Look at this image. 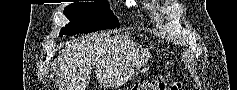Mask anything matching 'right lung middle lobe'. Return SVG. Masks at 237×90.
<instances>
[{"label":"right lung middle lobe","mask_w":237,"mask_h":90,"mask_svg":"<svg viewBox=\"0 0 237 90\" xmlns=\"http://www.w3.org/2000/svg\"><path fill=\"white\" fill-rule=\"evenodd\" d=\"M64 15L70 22L61 29L60 36L113 29L119 24L105 0L72 3L64 9Z\"/></svg>","instance_id":"dd1d6c3e"}]
</instances>
